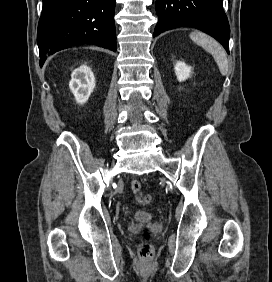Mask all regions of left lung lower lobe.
<instances>
[{
	"instance_id": "obj_1",
	"label": "left lung lower lobe",
	"mask_w": 272,
	"mask_h": 282,
	"mask_svg": "<svg viewBox=\"0 0 272 282\" xmlns=\"http://www.w3.org/2000/svg\"><path fill=\"white\" fill-rule=\"evenodd\" d=\"M223 0H156L158 23L153 37L177 27H194L218 40L229 54L230 28Z\"/></svg>"
}]
</instances>
